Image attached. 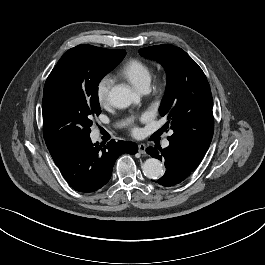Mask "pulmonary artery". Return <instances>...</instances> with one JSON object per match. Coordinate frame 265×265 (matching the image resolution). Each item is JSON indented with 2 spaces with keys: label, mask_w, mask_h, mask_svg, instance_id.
<instances>
[{
  "label": "pulmonary artery",
  "mask_w": 265,
  "mask_h": 265,
  "mask_svg": "<svg viewBox=\"0 0 265 265\" xmlns=\"http://www.w3.org/2000/svg\"><path fill=\"white\" fill-rule=\"evenodd\" d=\"M142 92H145V91H142ZM163 146H164V147L169 146V141H168V140H165V141L163 142Z\"/></svg>",
  "instance_id": "e3ab8cb5"
}]
</instances>
